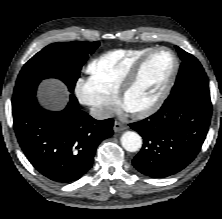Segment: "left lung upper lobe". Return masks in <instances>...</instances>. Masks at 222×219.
<instances>
[{
	"label": "left lung upper lobe",
	"instance_id": "left-lung-upper-lobe-1",
	"mask_svg": "<svg viewBox=\"0 0 222 219\" xmlns=\"http://www.w3.org/2000/svg\"><path fill=\"white\" fill-rule=\"evenodd\" d=\"M176 49L182 64L170 96L179 93H193L209 100L208 79L200 62L181 48L176 47Z\"/></svg>",
	"mask_w": 222,
	"mask_h": 219
}]
</instances>
